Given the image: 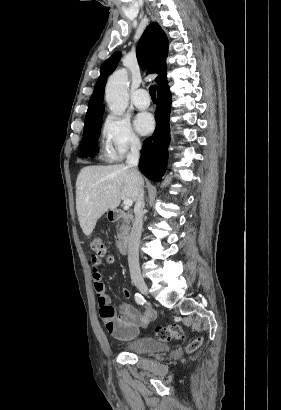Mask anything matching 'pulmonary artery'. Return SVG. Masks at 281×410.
<instances>
[{"label":"pulmonary artery","mask_w":281,"mask_h":410,"mask_svg":"<svg viewBox=\"0 0 281 410\" xmlns=\"http://www.w3.org/2000/svg\"><path fill=\"white\" fill-rule=\"evenodd\" d=\"M132 102L139 109H146L150 105L149 94L145 89H138L132 96Z\"/></svg>","instance_id":"pulmonary-artery-1"}]
</instances>
